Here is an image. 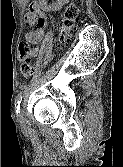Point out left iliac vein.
<instances>
[{"label":"left iliac vein","mask_w":123,"mask_h":167,"mask_svg":"<svg viewBox=\"0 0 123 167\" xmlns=\"http://www.w3.org/2000/svg\"><path fill=\"white\" fill-rule=\"evenodd\" d=\"M18 121H19V123H24V117H23V115L22 114H20L19 116H18Z\"/></svg>","instance_id":"4c4485c4"}]
</instances>
